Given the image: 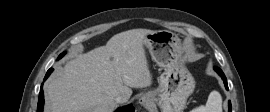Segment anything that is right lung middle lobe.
I'll return each mask as SVG.
<instances>
[{"label":"right lung middle lobe","instance_id":"1","mask_svg":"<svg viewBox=\"0 0 270 112\" xmlns=\"http://www.w3.org/2000/svg\"><path fill=\"white\" fill-rule=\"evenodd\" d=\"M64 55V53L60 54L59 58H61Z\"/></svg>","mask_w":270,"mask_h":112}]
</instances>
